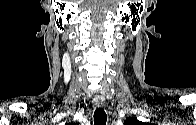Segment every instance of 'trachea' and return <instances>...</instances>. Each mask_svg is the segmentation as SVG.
Masks as SVG:
<instances>
[{
  "label": "trachea",
  "instance_id": "obj_1",
  "mask_svg": "<svg viewBox=\"0 0 196 125\" xmlns=\"http://www.w3.org/2000/svg\"><path fill=\"white\" fill-rule=\"evenodd\" d=\"M107 115L102 108L96 109L94 112V125H106Z\"/></svg>",
  "mask_w": 196,
  "mask_h": 125
}]
</instances>
